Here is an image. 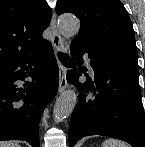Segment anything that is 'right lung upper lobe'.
Returning a JSON list of instances; mask_svg holds the SVG:
<instances>
[{"instance_id": "obj_1", "label": "right lung upper lobe", "mask_w": 145, "mask_h": 147, "mask_svg": "<svg viewBox=\"0 0 145 147\" xmlns=\"http://www.w3.org/2000/svg\"><path fill=\"white\" fill-rule=\"evenodd\" d=\"M52 18L45 0H0V66L36 51Z\"/></svg>"}]
</instances>
